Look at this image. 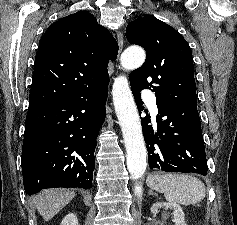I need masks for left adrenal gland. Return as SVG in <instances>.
Wrapping results in <instances>:
<instances>
[{"label":"left adrenal gland","instance_id":"1","mask_svg":"<svg viewBox=\"0 0 237 225\" xmlns=\"http://www.w3.org/2000/svg\"><path fill=\"white\" fill-rule=\"evenodd\" d=\"M149 194H150V195H152V194L156 195V194H155V193H153V191H151V190L149 191Z\"/></svg>","mask_w":237,"mask_h":225}]
</instances>
